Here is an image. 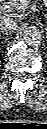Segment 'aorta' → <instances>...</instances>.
I'll return each mask as SVG.
<instances>
[{
  "instance_id": "aorta-1",
  "label": "aorta",
  "mask_w": 47,
  "mask_h": 129,
  "mask_svg": "<svg viewBox=\"0 0 47 129\" xmlns=\"http://www.w3.org/2000/svg\"><path fill=\"white\" fill-rule=\"evenodd\" d=\"M22 37L27 45H38L42 41V32L35 26H29L22 31Z\"/></svg>"
}]
</instances>
